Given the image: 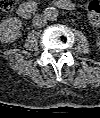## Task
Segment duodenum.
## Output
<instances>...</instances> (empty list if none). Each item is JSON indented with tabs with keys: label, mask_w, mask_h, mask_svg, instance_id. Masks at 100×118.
I'll list each match as a JSON object with an SVG mask.
<instances>
[{
	"label": "duodenum",
	"mask_w": 100,
	"mask_h": 118,
	"mask_svg": "<svg viewBox=\"0 0 100 118\" xmlns=\"http://www.w3.org/2000/svg\"><path fill=\"white\" fill-rule=\"evenodd\" d=\"M53 5L62 9H73L74 5L70 0H51ZM38 9V3L36 1H27L20 3L17 7L18 15L22 17H31Z\"/></svg>",
	"instance_id": "410a0bca"
}]
</instances>
